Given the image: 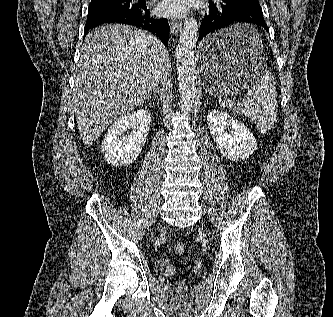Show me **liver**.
Wrapping results in <instances>:
<instances>
[{
  "label": "liver",
  "mask_w": 333,
  "mask_h": 317,
  "mask_svg": "<svg viewBox=\"0 0 333 317\" xmlns=\"http://www.w3.org/2000/svg\"><path fill=\"white\" fill-rule=\"evenodd\" d=\"M169 55L152 34L112 24L89 33L75 75L74 109L83 143L90 147L120 116L140 106L158 81L157 67Z\"/></svg>",
  "instance_id": "6515ba94"
}]
</instances>
